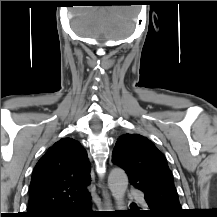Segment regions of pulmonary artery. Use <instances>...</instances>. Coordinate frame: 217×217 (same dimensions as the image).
<instances>
[{
	"instance_id": "1",
	"label": "pulmonary artery",
	"mask_w": 217,
	"mask_h": 217,
	"mask_svg": "<svg viewBox=\"0 0 217 217\" xmlns=\"http://www.w3.org/2000/svg\"><path fill=\"white\" fill-rule=\"evenodd\" d=\"M128 195L136 198L140 204H142V205L146 204V201L144 200V198L140 192L130 191V192H128Z\"/></svg>"
}]
</instances>
